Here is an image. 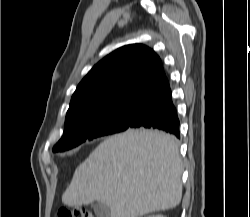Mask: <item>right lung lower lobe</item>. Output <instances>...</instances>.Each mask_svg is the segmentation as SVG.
I'll use <instances>...</instances> for the list:
<instances>
[{
	"mask_svg": "<svg viewBox=\"0 0 250 217\" xmlns=\"http://www.w3.org/2000/svg\"><path fill=\"white\" fill-rule=\"evenodd\" d=\"M179 118L169 84L146 95L140 102L129 128H150L180 138Z\"/></svg>",
	"mask_w": 250,
	"mask_h": 217,
	"instance_id": "1",
	"label": "right lung lower lobe"
}]
</instances>
